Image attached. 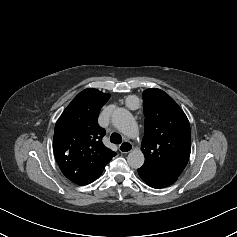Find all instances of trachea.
<instances>
[{
    "label": "trachea",
    "mask_w": 237,
    "mask_h": 237,
    "mask_svg": "<svg viewBox=\"0 0 237 237\" xmlns=\"http://www.w3.org/2000/svg\"><path fill=\"white\" fill-rule=\"evenodd\" d=\"M110 141L114 144H120L122 142V137L118 133H113L110 136Z\"/></svg>",
    "instance_id": "obj_1"
}]
</instances>
